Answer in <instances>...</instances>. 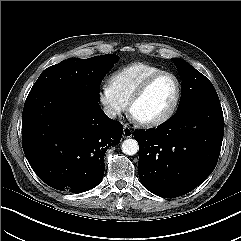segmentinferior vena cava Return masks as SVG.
<instances>
[{
    "label": "inferior vena cava",
    "mask_w": 241,
    "mask_h": 241,
    "mask_svg": "<svg viewBox=\"0 0 241 241\" xmlns=\"http://www.w3.org/2000/svg\"><path fill=\"white\" fill-rule=\"evenodd\" d=\"M104 112L109 118H111V119L116 118V115H117L116 109H114L112 107H105Z\"/></svg>",
    "instance_id": "obj_1"
}]
</instances>
